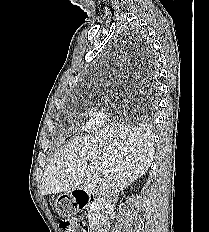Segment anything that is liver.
<instances>
[{
  "label": "liver",
  "mask_w": 209,
  "mask_h": 232,
  "mask_svg": "<svg viewBox=\"0 0 209 232\" xmlns=\"http://www.w3.org/2000/svg\"><path fill=\"white\" fill-rule=\"evenodd\" d=\"M153 158V139L144 128L107 126L74 139L53 155L44 172L42 195L82 188L111 197L141 177Z\"/></svg>",
  "instance_id": "obj_1"
}]
</instances>
